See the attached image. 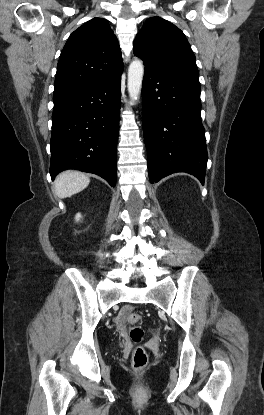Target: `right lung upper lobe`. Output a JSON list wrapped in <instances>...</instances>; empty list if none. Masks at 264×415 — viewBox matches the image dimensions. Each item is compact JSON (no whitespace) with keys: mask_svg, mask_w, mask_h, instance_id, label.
<instances>
[{"mask_svg":"<svg viewBox=\"0 0 264 415\" xmlns=\"http://www.w3.org/2000/svg\"><path fill=\"white\" fill-rule=\"evenodd\" d=\"M123 68L118 41L107 20L93 18L69 36L59 57L54 94L113 79Z\"/></svg>","mask_w":264,"mask_h":415,"instance_id":"1","label":"right lung upper lobe"}]
</instances>
